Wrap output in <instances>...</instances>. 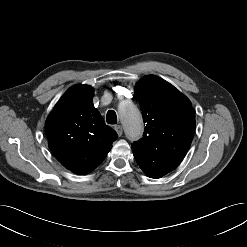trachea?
I'll use <instances>...</instances> for the list:
<instances>
[{
	"instance_id": "trachea-1",
	"label": "trachea",
	"mask_w": 247,
	"mask_h": 247,
	"mask_svg": "<svg viewBox=\"0 0 247 247\" xmlns=\"http://www.w3.org/2000/svg\"><path fill=\"white\" fill-rule=\"evenodd\" d=\"M107 123L108 124H116L117 123V116L115 111L109 110L106 115Z\"/></svg>"
}]
</instances>
